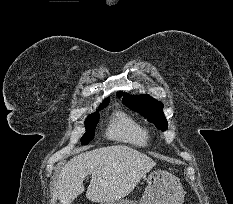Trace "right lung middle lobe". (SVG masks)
<instances>
[{"label": "right lung middle lobe", "instance_id": "1", "mask_svg": "<svg viewBox=\"0 0 233 204\" xmlns=\"http://www.w3.org/2000/svg\"><path fill=\"white\" fill-rule=\"evenodd\" d=\"M109 101L107 102H104L101 107L98 109H102L104 107H106L108 105ZM98 116L99 114L96 112L92 115H90L85 123L86 125V132L85 134L83 135V137L81 138V143L83 145H86L89 143V141H91L94 137V129L97 125V122H98Z\"/></svg>", "mask_w": 233, "mask_h": 204}]
</instances>
